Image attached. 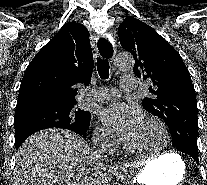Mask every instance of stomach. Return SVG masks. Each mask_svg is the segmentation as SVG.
<instances>
[{
  "instance_id": "1",
  "label": "stomach",
  "mask_w": 207,
  "mask_h": 185,
  "mask_svg": "<svg viewBox=\"0 0 207 185\" xmlns=\"http://www.w3.org/2000/svg\"><path fill=\"white\" fill-rule=\"evenodd\" d=\"M185 163L175 153L149 161L137 176L141 185H178L184 178Z\"/></svg>"
}]
</instances>
